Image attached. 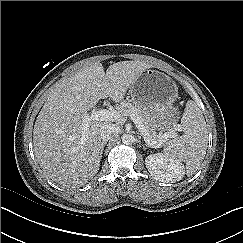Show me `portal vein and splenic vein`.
<instances>
[{
    "instance_id": "1",
    "label": "portal vein and splenic vein",
    "mask_w": 243,
    "mask_h": 243,
    "mask_svg": "<svg viewBox=\"0 0 243 243\" xmlns=\"http://www.w3.org/2000/svg\"><path fill=\"white\" fill-rule=\"evenodd\" d=\"M123 114L119 110H106V109H101V110H94L90 115L86 114L83 117V132L85 133L88 130V123L92 120L95 121H115V120H122ZM131 120L137 125V128L143 135L144 141L154 147H159L162 144V141L160 140L159 142L152 140L151 138L148 137V134L146 133V130L144 128V125L140 118L136 115L135 112H131L130 114ZM171 136H174V133H167L163 135V138L167 139Z\"/></svg>"
}]
</instances>
